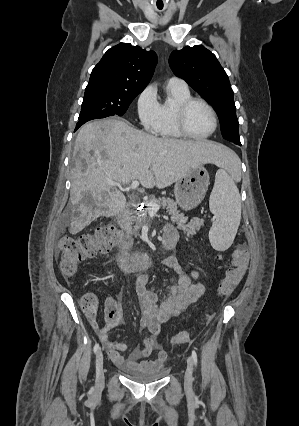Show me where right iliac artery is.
Listing matches in <instances>:
<instances>
[{
  "label": "right iliac artery",
  "instance_id": "1",
  "mask_svg": "<svg viewBox=\"0 0 299 426\" xmlns=\"http://www.w3.org/2000/svg\"><path fill=\"white\" fill-rule=\"evenodd\" d=\"M99 348H100L99 343H96L94 346V353H96L99 350Z\"/></svg>",
  "mask_w": 299,
  "mask_h": 426
}]
</instances>
